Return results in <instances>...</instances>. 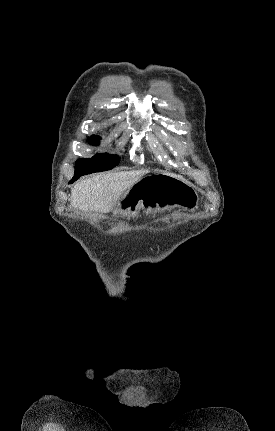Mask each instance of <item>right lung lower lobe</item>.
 <instances>
[{"label": "right lung lower lobe", "instance_id": "right-lung-lower-lobe-1", "mask_svg": "<svg viewBox=\"0 0 275 431\" xmlns=\"http://www.w3.org/2000/svg\"><path fill=\"white\" fill-rule=\"evenodd\" d=\"M75 180H77V179H72V180L70 181V183H73Z\"/></svg>", "mask_w": 275, "mask_h": 431}]
</instances>
